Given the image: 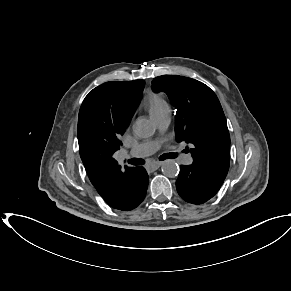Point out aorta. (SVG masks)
Returning a JSON list of instances; mask_svg holds the SVG:
<instances>
[{
  "mask_svg": "<svg viewBox=\"0 0 291 291\" xmlns=\"http://www.w3.org/2000/svg\"><path fill=\"white\" fill-rule=\"evenodd\" d=\"M132 129L134 134L140 138L151 137L155 132L152 122L144 118L137 119ZM161 170L165 176L174 178L179 173V166L175 160L168 159L163 162Z\"/></svg>",
  "mask_w": 291,
  "mask_h": 291,
  "instance_id": "1",
  "label": "aorta"
}]
</instances>
